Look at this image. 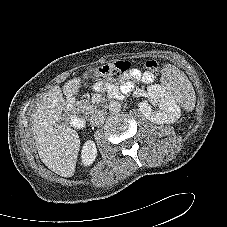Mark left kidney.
<instances>
[{"instance_id": "1", "label": "left kidney", "mask_w": 227, "mask_h": 227, "mask_svg": "<svg viewBox=\"0 0 227 227\" xmlns=\"http://www.w3.org/2000/svg\"><path fill=\"white\" fill-rule=\"evenodd\" d=\"M148 96L158 103V109L153 110L146 101L138 103L140 112L151 122L168 124L176 122L181 116V110L176 100L160 85L147 87Z\"/></svg>"}]
</instances>
